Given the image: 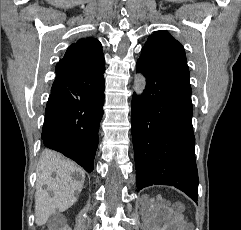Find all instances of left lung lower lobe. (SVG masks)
<instances>
[{
  "instance_id": "1",
  "label": "left lung lower lobe",
  "mask_w": 241,
  "mask_h": 230,
  "mask_svg": "<svg viewBox=\"0 0 241 230\" xmlns=\"http://www.w3.org/2000/svg\"><path fill=\"white\" fill-rule=\"evenodd\" d=\"M146 77L141 96L133 94L131 123L138 190L170 185L198 198L189 76L139 57Z\"/></svg>"
}]
</instances>
